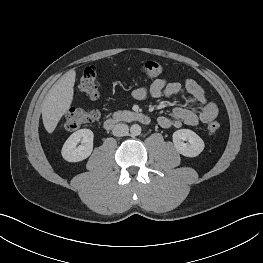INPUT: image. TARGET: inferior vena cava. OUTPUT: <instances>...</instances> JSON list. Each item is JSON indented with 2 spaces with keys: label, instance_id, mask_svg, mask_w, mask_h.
<instances>
[{
  "label": "inferior vena cava",
  "instance_id": "602c4592",
  "mask_svg": "<svg viewBox=\"0 0 263 263\" xmlns=\"http://www.w3.org/2000/svg\"><path fill=\"white\" fill-rule=\"evenodd\" d=\"M129 132V128L126 124H116L112 130V133L114 136L117 137H122V136H126Z\"/></svg>",
  "mask_w": 263,
  "mask_h": 263
}]
</instances>
